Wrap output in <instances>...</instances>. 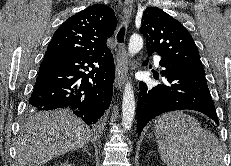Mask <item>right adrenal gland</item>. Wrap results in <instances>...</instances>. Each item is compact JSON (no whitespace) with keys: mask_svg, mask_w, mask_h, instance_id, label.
Segmentation results:
<instances>
[{"mask_svg":"<svg viewBox=\"0 0 231 166\" xmlns=\"http://www.w3.org/2000/svg\"><path fill=\"white\" fill-rule=\"evenodd\" d=\"M82 150L85 151L89 156H90V153H89V150H88V146H84L82 147Z\"/></svg>","mask_w":231,"mask_h":166,"instance_id":"2a0ac1e0","label":"right adrenal gland"}]
</instances>
